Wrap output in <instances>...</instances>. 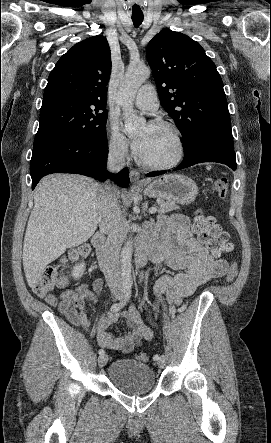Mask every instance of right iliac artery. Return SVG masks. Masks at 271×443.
I'll list each match as a JSON object with an SVG mask.
<instances>
[{
	"label": "right iliac artery",
	"mask_w": 271,
	"mask_h": 443,
	"mask_svg": "<svg viewBox=\"0 0 271 443\" xmlns=\"http://www.w3.org/2000/svg\"><path fill=\"white\" fill-rule=\"evenodd\" d=\"M130 298H131V286H125L124 287V299L121 302L114 303L111 306V311H113V312L120 311L126 305V303L129 301ZM104 353H105V351L103 349L99 350V355H103Z\"/></svg>",
	"instance_id": "82829eb1"
}]
</instances>
